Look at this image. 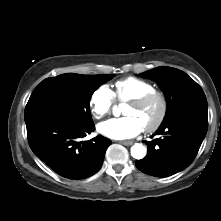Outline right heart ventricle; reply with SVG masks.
<instances>
[{
	"label": "right heart ventricle",
	"mask_w": 221,
	"mask_h": 221,
	"mask_svg": "<svg viewBox=\"0 0 221 221\" xmlns=\"http://www.w3.org/2000/svg\"><path fill=\"white\" fill-rule=\"evenodd\" d=\"M154 90V85L146 80L127 77L115 83L114 96L119 102H129Z\"/></svg>",
	"instance_id": "right-heart-ventricle-1"
}]
</instances>
